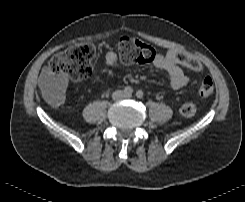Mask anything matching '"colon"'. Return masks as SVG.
<instances>
[{
    "instance_id": "obj_1",
    "label": "colon",
    "mask_w": 245,
    "mask_h": 202,
    "mask_svg": "<svg viewBox=\"0 0 245 202\" xmlns=\"http://www.w3.org/2000/svg\"><path fill=\"white\" fill-rule=\"evenodd\" d=\"M118 54L122 61L132 65H143L152 62L157 55L154 47L131 35L122 37L118 42ZM95 55V47L91 43L72 45L55 54L49 63L52 73L63 75L72 81H82L92 72V61ZM177 63L199 72L202 69L200 61L186 52L179 51L176 54ZM201 97H209L214 92V84L210 77H205L199 87ZM50 103L59 105L64 100L60 88L46 91ZM181 114L191 118L196 114V106L186 103L181 108Z\"/></svg>"
}]
</instances>
